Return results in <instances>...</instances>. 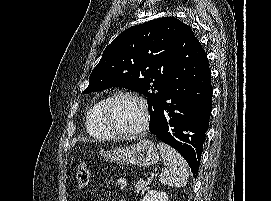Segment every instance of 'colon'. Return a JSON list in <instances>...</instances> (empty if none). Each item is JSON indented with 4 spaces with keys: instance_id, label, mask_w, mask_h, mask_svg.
Wrapping results in <instances>:
<instances>
[{
    "instance_id": "colon-1",
    "label": "colon",
    "mask_w": 271,
    "mask_h": 201,
    "mask_svg": "<svg viewBox=\"0 0 271 201\" xmlns=\"http://www.w3.org/2000/svg\"><path fill=\"white\" fill-rule=\"evenodd\" d=\"M89 182V169L86 161L81 162L77 168V185L79 189H84Z\"/></svg>"
}]
</instances>
